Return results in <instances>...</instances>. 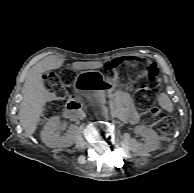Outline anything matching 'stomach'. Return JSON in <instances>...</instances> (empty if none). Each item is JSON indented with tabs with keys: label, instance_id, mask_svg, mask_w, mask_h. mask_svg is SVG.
<instances>
[{
	"label": "stomach",
	"instance_id": "1",
	"mask_svg": "<svg viewBox=\"0 0 194 193\" xmlns=\"http://www.w3.org/2000/svg\"><path fill=\"white\" fill-rule=\"evenodd\" d=\"M116 87L114 79L105 78L99 71L79 73L74 81V88L81 94H105Z\"/></svg>",
	"mask_w": 194,
	"mask_h": 193
}]
</instances>
